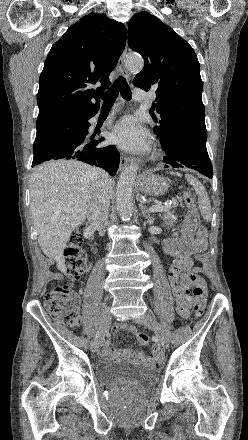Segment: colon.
Segmentation results:
<instances>
[{
    "instance_id": "5ec220e1",
    "label": "colon",
    "mask_w": 248,
    "mask_h": 440,
    "mask_svg": "<svg viewBox=\"0 0 248 440\" xmlns=\"http://www.w3.org/2000/svg\"><path fill=\"white\" fill-rule=\"evenodd\" d=\"M184 199L188 209V220L194 224H199V216L194 197L190 190L184 191ZM196 251H202L204 244L202 240H196L193 244ZM66 263V274L69 280L54 286L45 296V308L49 315L57 322L74 328L79 325L80 318L78 312L79 298L72 290L73 281L80 278L84 273L82 236L79 230H74L69 238L64 252ZM194 305L193 315L195 318L202 316L205 303L207 288L204 279L199 275L192 276ZM137 341L142 345H147L150 341L149 335L145 332L136 333Z\"/></svg>"
}]
</instances>
